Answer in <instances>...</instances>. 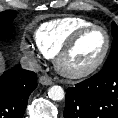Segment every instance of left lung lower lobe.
I'll return each mask as SVG.
<instances>
[{"instance_id":"left-lung-lower-lobe-1","label":"left lung lower lobe","mask_w":118,"mask_h":118,"mask_svg":"<svg viewBox=\"0 0 118 118\" xmlns=\"http://www.w3.org/2000/svg\"><path fill=\"white\" fill-rule=\"evenodd\" d=\"M64 118H118V64L68 88Z\"/></svg>"}]
</instances>
